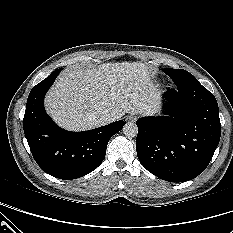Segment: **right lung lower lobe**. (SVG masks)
I'll return each mask as SVG.
<instances>
[{"instance_id":"right-lung-lower-lobe-1","label":"right lung lower lobe","mask_w":233,"mask_h":233,"mask_svg":"<svg viewBox=\"0 0 233 233\" xmlns=\"http://www.w3.org/2000/svg\"><path fill=\"white\" fill-rule=\"evenodd\" d=\"M61 70H55L31 90L23 128L40 168L56 178L71 180L92 172L100 165L108 141L121 130L124 121L84 132H69L58 127L45 111L44 96Z\"/></svg>"}]
</instances>
